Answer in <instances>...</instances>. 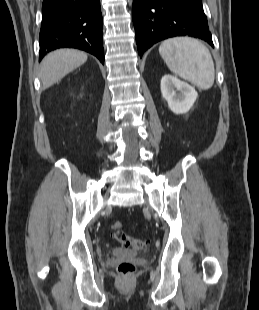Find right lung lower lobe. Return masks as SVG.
Returning a JSON list of instances; mask_svg holds the SVG:
<instances>
[{
	"instance_id": "obj_1",
	"label": "right lung lower lobe",
	"mask_w": 259,
	"mask_h": 310,
	"mask_svg": "<svg viewBox=\"0 0 259 310\" xmlns=\"http://www.w3.org/2000/svg\"><path fill=\"white\" fill-rule=\"evenodd\" d=\"M41 60L57 48H78L104 64L100 0H43Z\"/></svg>"
}]
</instances>
